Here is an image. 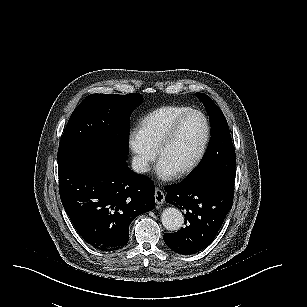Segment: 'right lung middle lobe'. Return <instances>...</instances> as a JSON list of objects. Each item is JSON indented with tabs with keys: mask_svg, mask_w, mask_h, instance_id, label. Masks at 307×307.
<instances>
[{
	"mask_svg": "<svg viewBox=\"0 0 307 307\" xmlns=\"http://www.w3.org/2000/svg\"><path fill=\"white\" fill-rule=\"evenodd\" d=\"M143 102L140 94H91L73 111L59 144L58 160L89 150L126 158L129 117Z\"/></svg>",
	"mask_w": 307,
	"mask_h": 307,
	"instance_id": "obj_1",
	"label": "right lung middle lobe"
}]
</instances>
